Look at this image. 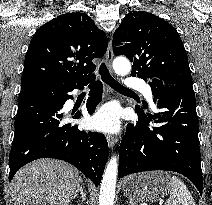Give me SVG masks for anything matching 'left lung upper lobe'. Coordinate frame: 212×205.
Instances as JSON below:
<instances>
[{
    "mask_svg": "<svg viewBox=\"0 0 212 205\" xmlns=\"http://www.w3.org/2000/svg\"><path fill=\"white\" fill-rule=\"evenodd\" d=\"M113 52L132 61V76L192 87L188 58L179 34L151 13L131 12L124 17L114 33ZM143 106H148L145 101Z\"/></svg>",
    "mask_w": 212,
    "mask_h": 205,
    "instance_id": "left-lung-upper-lobe-1",
    "label": "left lung upper lobe"
}]
</instances>
